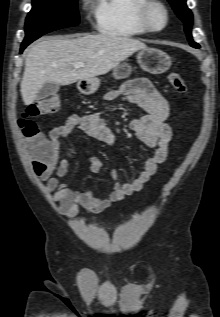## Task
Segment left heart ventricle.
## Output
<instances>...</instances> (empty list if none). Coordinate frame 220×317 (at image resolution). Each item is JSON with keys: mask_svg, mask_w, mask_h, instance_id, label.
<instances>
[{"mask_svg": "<svg viewBox=\"0 0 220 317\" xmlns=\"http://www.w3.org/2000/svg\"><path fill=\"white\" fill-rule=\"evenodd\" d=\"M152 20L155 26L161 27L164 24L163 13L159 9H154L152 11Z\"/></svg>", "mask_w": 220, "mask_h": 317, "instance_id": "1", "label": "left heart ventricle"}]
</instances>
